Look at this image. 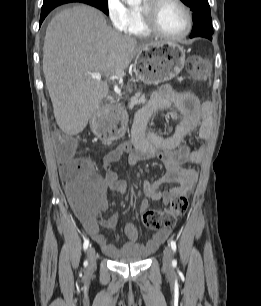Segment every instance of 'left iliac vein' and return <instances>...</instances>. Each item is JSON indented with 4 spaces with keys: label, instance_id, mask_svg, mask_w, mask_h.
<instances>
[{
    "label": "left iliac vein",
    "instance_id": "1",
    "mask_svg": "<svg viewBox=\"0 0 261 306\" xmlns=\"http://www.w3.org/2000/svg\"><path fill=\"white\" fill-rule=\"evenodd\" d=\"M172 249L170 246H166L163 254V267L167 270L172 267Z\"/></svg>",
    "mask_w": 261,
    "mask_h": 306
}]
</instances>
